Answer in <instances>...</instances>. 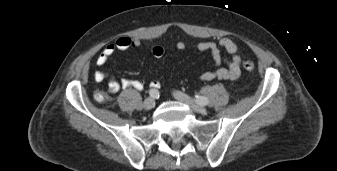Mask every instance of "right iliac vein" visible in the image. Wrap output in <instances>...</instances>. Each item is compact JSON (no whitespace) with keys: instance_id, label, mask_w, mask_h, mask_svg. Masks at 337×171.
<instances>
[{"instance_id":"63e3f726","label":"right iliac vein","mask_w":337,"mask_h":171,"mask_svg":"<svg viewBox=\"0 0 337 171\" xmlns=\"http://www.w3.org/2000/svg\"><path fill=\"white\" fill-rule=\"evenodd\" d=\"M154 106H155V100H154V98L149 97V98H147V99L144 100L143 107L146 110H150V109L154 108Z\"/></svg>"}]
</instances>
